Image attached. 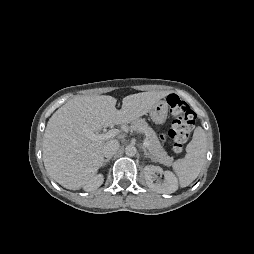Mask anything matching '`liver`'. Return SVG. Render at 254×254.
Segmentation results:
<instances>
[{
  "mask_svg": "<svg viewBox=\"0 0 254 254\" xmlns=\"http://www.w3.org/2000/svg\"><path fill=\"white\" fill-rule=\"evenodd\" d=\"M167 91H149L126 96L116 109L112 96H77L49 119L43 138V161L48 174L67 189L77 190L90 183L104 161L105 141H93L112 124H128L148 113Z\"/></svg>",
  "mask_w": 254,
  "mask_h": 254,
  "instance_id": "obj_1",
  "label": "liver"
}]
</instances>
